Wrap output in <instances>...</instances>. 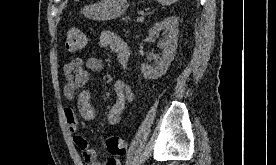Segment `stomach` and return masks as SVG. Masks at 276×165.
Returning <instances> with one entry per match:
<instances>
[{
    "mask_svg": "<svg viewBox=\"0 0 276 165\" xmlns=\"http://www.w3.org/2000/svg\"><path fill=\"white\" fill-rule=\"evenodd\" d=\"M127 7V0H101L98 3L86 5L82 13L90 19L106 21L122 16Z\"/></svg>",
    "mask_w": 276,
    "mask_h": 165,
    "instance_id": "1",
    "label": "stomach"
}]
</instances>
